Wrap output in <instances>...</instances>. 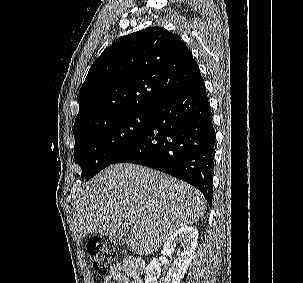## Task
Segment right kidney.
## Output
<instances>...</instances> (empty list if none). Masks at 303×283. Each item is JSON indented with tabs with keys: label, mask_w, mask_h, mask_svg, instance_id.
<instances>
[{
	"label": "right kidney",
	"mask_w": 303,
	"mask_h": 283,
	"mask_svg": "<svg viewBox=\"0 0 303 283\" xmlns=\"http://www.w3.org/2000/svg\"><path fill=\"white\" fill-rule=\"evenodd\" d=\"M198 231L192 226H184L175 231L164 243L163 255L174 252L176 244L181 243L182 250L177 251V258L165 278L159 279L161 264L153 258L145 274V283H180L191 263L197 247Z\"/></svg>",
	"instance_id": "ca27d5eb"
}]
</instances>
